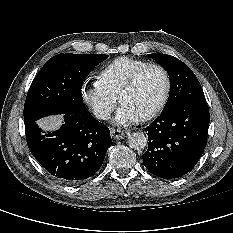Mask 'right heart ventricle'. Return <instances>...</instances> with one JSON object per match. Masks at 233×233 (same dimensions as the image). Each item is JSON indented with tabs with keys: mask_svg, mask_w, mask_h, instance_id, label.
I'll list each match as a JSON object with an SVG mask.
<instances>
[{
	"mask_svg": "<svg viewBox=\"0 0 233 233\" xmlns=\"http://www.w3.org/2000/svg\"><path fill=\"white\" fill-rule=\"evenodd\" d=\"M147 64L149 62L145 60L132 57H119L104 66L98 78L117 97L130 76Z\"/></svg>",
	"mask_w": 233,
	"mask_h": 233,
	"instance_id": "1",
	"label": "right heart ventricle"
}]
</instances>
